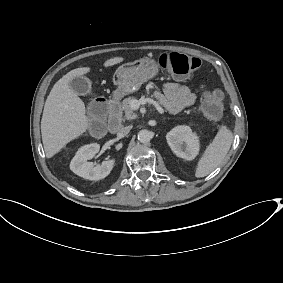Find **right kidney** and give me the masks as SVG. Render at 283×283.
<instances>
[{
    "label": "right kidney",
    "instance_id": "right-kidney-1",
    "mask_svg": "<svg viewBox=\"0 0 283 283\" xmlns=\"http://www.w3.org/2000/svg\"><path fill=\"white\" fill-rule=\"evenodd\" d=\"M100 146L92 143L80 148L70 163V169L77 175L88 179L99 181L107 177L115 162V158H110L102 162L101 166L94 168V163L88 160L93 159L98 153Z\"/></svg>",
    "mask_w": 283,
    "mask_h": 283
}]
</instances>
